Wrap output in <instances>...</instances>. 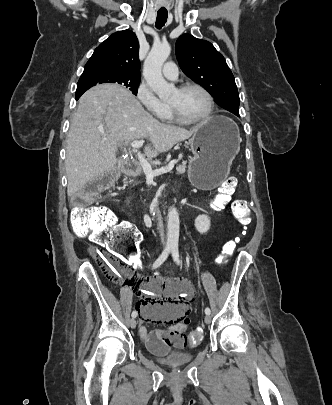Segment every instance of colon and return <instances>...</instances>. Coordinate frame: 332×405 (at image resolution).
Returning a JSON list of instances; mask_svg holds the SVG:
<instances>
[{
  "mask_svg": "<svg viewBox=\"0 0 332 405\" xmlns=\"http://www.w3.org/2000/svg\"><path fill=\"white\" fill-rule=\"evenodd\" d=\"M114 178V172H105L73 195L71 198L73 209L70 218L72 229L76 233L89 235L95 242L106 243L102 249L103 255H94L106 276L112 282L118 280L122 263L126 267H136L138 265L140 245L143 243V238L139 236L129 222L117 221L113 212L104 206H89V202L102 190L108 188L113 183ZM236 186L237 179L233 176L226 178L222 182L215 203L217 209H222L226 205ZM231 209L234 217L244 227L250 223V211L245 200L238 199L233 201ZM238 241L239 239H234L227 242L223 248L224 255H231ZM112 256L121 257L118 260ZM181 323L183 325H191L193 318L191 316H183ZM196 327L197 329L190 333L185 332V336L182 337L187 340V351H198L199 342L207 332L205 325L199 323Z\"/></svg>",
  "mask_w": 332,
  "mask_h": 405,
  "instance_id": "obj_1",
  "label": "colon"
}]
</instances>
